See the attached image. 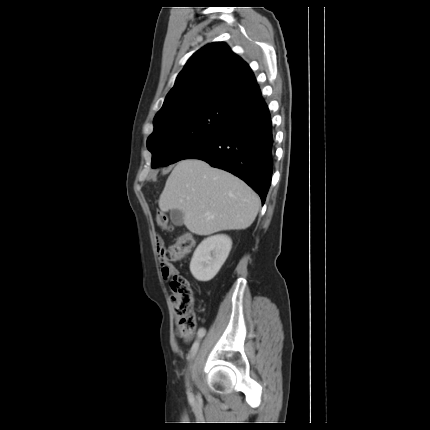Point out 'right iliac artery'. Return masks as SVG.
<instances>
[{"label": "right iliac artery", "mask_w": 430, "mask_h": 430, "mask_svg": "<svg viewBox=\"0 0 430 430\" xmlns=\"http://www.w3.org/2000/svg\"><path fill=\"white\" fill-rule=\"evenodd\" d=\"M201 338H204V331L203 330L198 331L197 340L193 343V345L191 347V351H190V355H189L190 358L193 357L194 354L196 353V351L198 350ZM188 395H189V398H192V394L190 393L189 390H188Z\"/></svg>", "instance_id": "obj_1"}]
</instances>
